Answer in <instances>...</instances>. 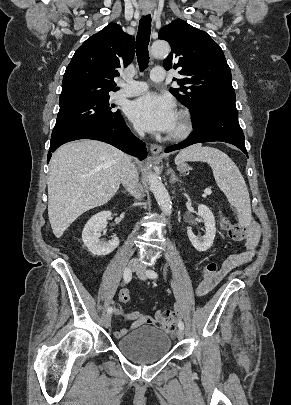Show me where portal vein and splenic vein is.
I'll list each match as a JSON object with an SVG mask.
<instances>
[{
    "instance_id": "18ae733b",
    "label": "portal vein and splenic vein",
    "mask_w": 291,
    "mask_h": 405,
    "mask_svg": "<svg viewBox=\"0 0 291 405\" xmlns=\"http://www.w3.org/2000/svg\"><path fill=\"white\" fill-rule=\"evenodd\" d=\"M212 193V191H211V189H209V188H206L205 190H204V194L205 195H210Z\"/></svg>"
}]
</instances>
